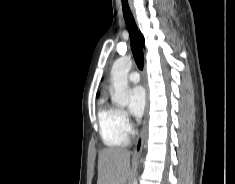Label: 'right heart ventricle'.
Listing matches in <instances>:
<instances>
[{
	"mask_svg": "<svg viewBox=\"0 0 235 184\" xmlns=\"http://www.w3.org/2000/svg\"><path fill=\"white\" fill-rule=\"evenodd\" d=\"M97 123L101 139L106 146L101 154L102 160L110 158L128 145L129 136L119 121L116 108L106 104L100 105L97 111Z\"/></svg>",
	"mask_w": 235,
	"mask_h": 184,
	"instance_id": "right-heart-ventricle-1",
	"label": "right heart ventricle"
}]
</instances>
